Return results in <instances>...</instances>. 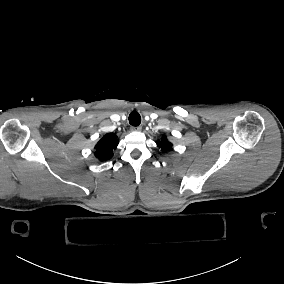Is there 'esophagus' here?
I'll list each match as a JSON object with an SVG mask.
<instances>
[{"instance_id": "1", "label": "esophagus", "mask_w": 284, "mask_h": 284, "mask_svg": "<svg viewBox=\"0 0 284 284\" xmlns=\"http://www.w3.org/2000/svg\"><path fill=\"white\" fill-rule=\"evenodd\" d=\"M141 126H132V127H130V130L132 131V132H139V131H141Z\"/></svg>"}]
</instances>
